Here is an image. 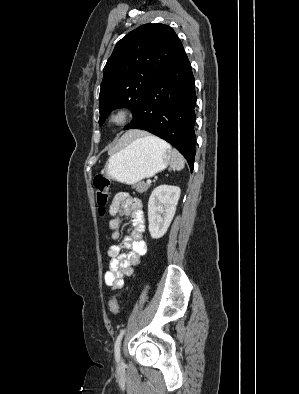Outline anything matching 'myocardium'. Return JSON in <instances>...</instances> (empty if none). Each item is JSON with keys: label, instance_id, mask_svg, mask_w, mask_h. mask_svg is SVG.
Wrapping results in <instances>:
<instances>
[{"label": "myocardium", "instance_id": "f54148a6", "mask_svg": "<svg viewBox=\"0 0 299 394\" xmlns=\"http://www.w3.org/2000/svg\"><path fill=\"white\" fill-rule=\"evenodd\" d=\"M131 113L127 107H118L110 112L108 116V125L112 128H122L130 120Z\"/></svg>", "mask_w": 299, "mask_h": 394}]
</instances>
